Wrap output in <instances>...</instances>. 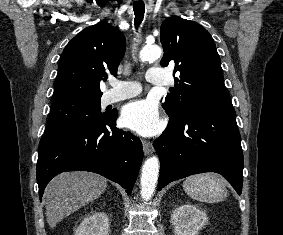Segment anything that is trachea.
<instances>
[{"label": "trachea", "mask_w": 283, "mask_h": 235, "mask_svg": "<svg viewBox=\"0 0 283 235\" xmlns=\"http://www.w3.org/2000/svg\"><path fill=\"white\" fill-rule=\"evenodd\" d=\"M133 10H134V24L135 27L138 28L143 21L144 13H145V5L143 2H135L133 4Z\"/></svg>", "instance_id": "obj_1"}]
</instances>
